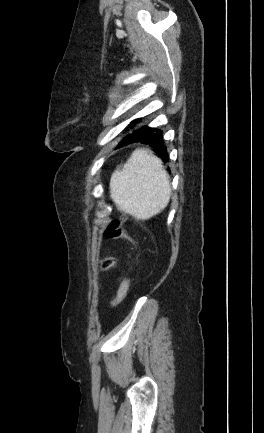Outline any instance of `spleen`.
Returning <instances> with one entry per match:
<instances>
[{
  "instance_id": "spleen-1",
  "label": "spleen",
  "mask_w": 264,
  "mask_h": 433,
  "mask_svg": "<svg viewBox=\"0 0 264 433\" xmlns=\"http://www.w3.org/2000/svg\"><path fill=\"white\" fill-rule=\"evenodd\" d=\"M169 176L162 161L150 150L136 149L110 179V197L122 212L147 220L170 201Z\"/></svg>"
}]
</instances>
